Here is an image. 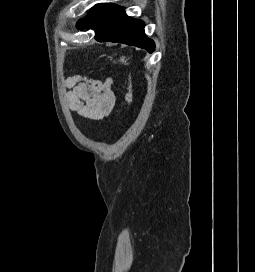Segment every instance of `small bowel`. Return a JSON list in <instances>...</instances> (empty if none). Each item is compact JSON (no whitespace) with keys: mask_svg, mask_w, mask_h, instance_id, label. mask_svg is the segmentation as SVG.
Instances as JSON below:
<instances>
[{"mask_svg":"<svg viewBox=\"0 0 255 272\" xmlns=\"http://www.w3.org/2000/svg\"><path fill=\"white\" fill-rule=\"evenodd\" d=\"M113 79L73 75L66 80L67 104L72 113L92 120L108 116L116 104Z\"/></svg>","mask_w":255,"mask_h":272,"instance_id":"c3829d8e","label":"small bowel"}]
</instances>
